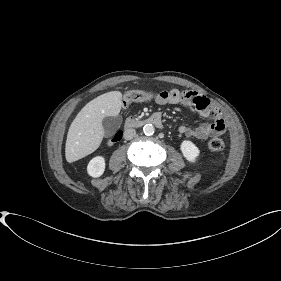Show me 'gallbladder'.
<instances>
[{"label": "gallbladder", "mask_w": 281, "mask_h": 281, "mask_svg": "<svg viewBox=\"0 0 281 281\" xmlns=\"http://www.w3.org/2000/svg\"><path fill=\"white\" fill-rule=\"evenodd\" d=\"M122 118L120 116H108L102 121L104 134L106 137L112 136L116 130L120 127Z\"/></svg>", "instance_id": "bac80fb5"}]
</instances>
